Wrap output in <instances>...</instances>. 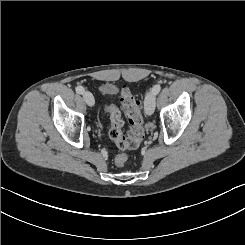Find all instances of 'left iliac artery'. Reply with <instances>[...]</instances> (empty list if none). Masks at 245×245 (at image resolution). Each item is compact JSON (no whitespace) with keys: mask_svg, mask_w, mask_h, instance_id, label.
Segmentation results:
<instances>
[{"mask_svg":"<svg viewBox=\"0 0 245 245\" xmlns=\"http://www.w3.org/2000/svg\"><path fill=\"white\" fill-rule=\"evenodd\" d=\"M152 90L154 91L155 94H158L161 90V85L159 84L154 85Z\"/></svg>","mask_w":245,"mask_h":245,"instance_id":"1","label":"left iliac artery"}]
</instances>
